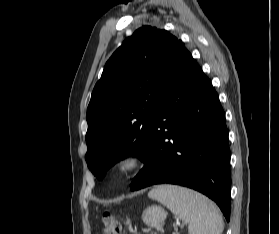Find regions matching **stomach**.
Returning a JSON list of instances; mask_svg holds the SVG:
<instances>
[{
  "instance_id": "obj_1",
  "label": "stomach",
  "mask_w": 279,
  "mask_h": 234,
  "mask_svg": "<svg viewBox=\"0 0 279 234\" xmlns=\"http://www.w3.org/2000/svg\"><path fill=\"white\" fill-rule=\"evenodd\" d=\"M166 218V213L160 206H150L142 213L143 222L150 227H157Z\"/></svg>"
}]
</instances>
